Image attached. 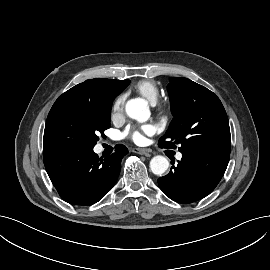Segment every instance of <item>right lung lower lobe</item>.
Masks as SVG:
<instances>
[{"instance_id":"right-lung-lower-lobe-1","label":"right lung lower lobe","mask_w":270,"mask_h":270,"mask_svg":"<svg viewBox=\"0 0 270 270\" xmlns=\"http://www.w3.org/2000/svg\"><path fill=\"white\" fill-rule=\"evenodd\" d=\"M127 153V148L118 144L115 153L105 159L99 158L93 149L44 152L43 159L62 199L73 205H92L113 187Z\"/></svg>"}]
</instances>
